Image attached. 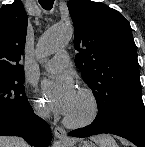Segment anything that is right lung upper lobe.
<instances>
[{
	"label": "right lung upper lobe",
	"mask_w": 145,
	"mask_h": 147,
	"mask_svg": "<svg viewBox=\"0 0 145 147\" xmlns=\"http://www.w3.org/2000/svg\"><path fill=\"white\" fill-rule=\"evenodd\" d=\"M27 33V15L21 0L0 9V79L24 75L20 64Z\"/></svg>",
	"instance_id": "right-lung-upper-lobe-1"
}]
</instances>
